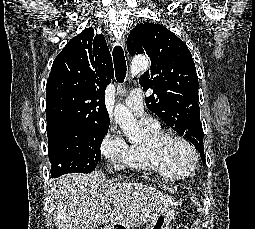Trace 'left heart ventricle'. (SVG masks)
Instances as JSON below:
<instances>
[{
  "label": "left heart ventricle",
  "instance_id": "b2bd125f",
  "mask_svg": "<svg viewBox=\"0 0 255 229\" xmlns=\"http://www.w3.org/2000/svg\"><path fill=\"white\" fill-rule=\"evenodd\" d=\"M166 149L171 159L178 164H184L191 158L190 152L181 144L171 143Z\"/></svg>",
  "mask_w": 255,
  "mask_h": 229
}]
</instances>
